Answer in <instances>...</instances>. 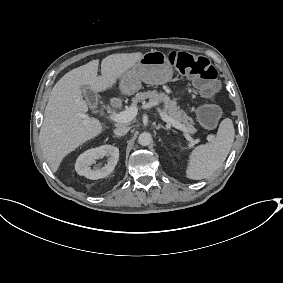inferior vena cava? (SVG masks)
<instances>
[{
  "mask_svg": "<svg viewBox=\"0 0 283 283\" xmlns=\"http://www.w3.org/2000/svg\"><path fill=\"white\" fill-rule=\"evenodd\" d=\"M128 131H129V127H121V128H116L114 130V133L117 136H123L126 135Z\"/></svg>",
  "mask_w": 283,
  "mask_h": 283,
  "instance_id": "602c4592",
  "label": "inferior vena cava"
}]
</instances>
